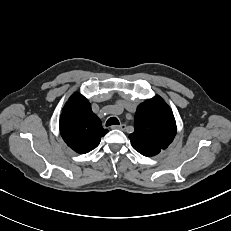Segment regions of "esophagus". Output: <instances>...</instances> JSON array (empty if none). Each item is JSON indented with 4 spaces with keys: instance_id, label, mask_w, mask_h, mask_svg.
Instances as JSON below:
<instances>
[{
    "instance_id": "obj_1",
    "label": "esophagus",
    "mask_w": 231,
    "mask_h": 231,
    "mask_svg": "<svg viewBox=\"0 0 231 231\" xmlns=\"http://www.w3.org/2000/svg\"><path fill=\"white\" fill-rule=\"evenodd\" d=\"M112 129H120V130H125L126 125L125 124H121V125H114L111 127Z\"/></svg>"
}]
</instances>
